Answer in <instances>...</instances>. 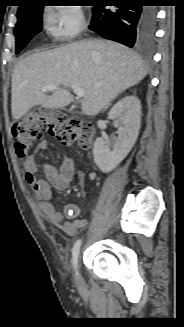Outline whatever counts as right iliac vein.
Masks as SVG:
<instances>
[{
	"mask_svg": "<svg viewBox=\"0 0 184 327\" xmlns=\"http://www.w3.org/2000/svg\"><path fill=\"white\" fill-rule=\"evenodd\" d=\"M77 283L78 284H81L82 283V279H81V276L79 274L77 276Z\"/></svg>",
	"mask_w": 184,
	"mask_h": 327,
	"instance_id": "right-iliac-vein-1",
	"label": "right iliac vein"
}]
</instances>
